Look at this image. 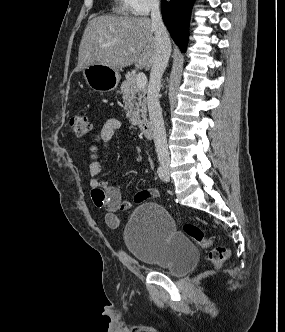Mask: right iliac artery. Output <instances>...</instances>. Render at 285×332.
I'll list each match as a JSON object with an SVG mask.
<instances>
[{"label":"right iliac artery","mask_w":285,"mask_h":332,"mask_svg":"<svg viewBox=\"0 0 285 332\" xmlns=\"http://www.w3.org/2000/svg\"><path fill=\"white\" fill-rule=\"evenodd\" d=\"M157 174L162 181H165V172L161 166L158 167Z\"/></svg>","instance_id":"82829eb1"}]
</instances>
